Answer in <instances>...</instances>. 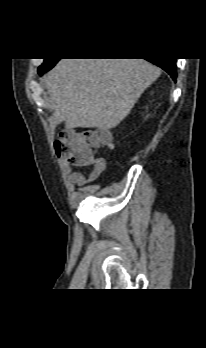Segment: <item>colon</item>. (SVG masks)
<instances>
[{"label": "colon", "mask_w": 206, "mask_h": 348, "mask_svg": "<svg viewBox=\"0 0 206 348\" xmlns=\"http://www.w3.org/2000/svg\"><path fill=\"white\" fill-rule=\"evenodd\" d=\"M112 148L111 135L104 129L68 130L55 142V153L72 166L89 165L96 161L94 150Z\"/></svg>", "instance_id": "5ec220e1"}]
</instances>
